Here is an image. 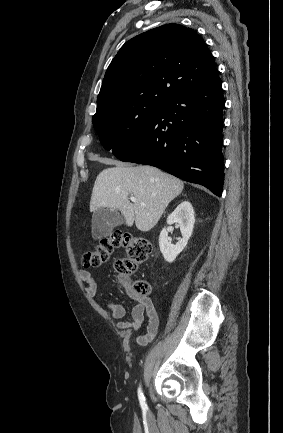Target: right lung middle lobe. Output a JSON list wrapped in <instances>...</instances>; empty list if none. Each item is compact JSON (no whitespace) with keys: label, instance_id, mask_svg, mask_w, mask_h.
<instances>
[{"label":"right lung middle lobe","instance_id":"right-lung-middle-lobe-1","mask_svg":"<svg viewBox=\"0 0 283 433\" xmlns=\"http://www.w3.org/2000/svg\"><path fill=\"white\" fill-rule=\"evenodd\" d=\"M161 103L138 102L101 111L93 116L100 142L114 155L123 152L163 107Z\"/></svg>","mask_w":283,"mask_h":433}]
</instances>
